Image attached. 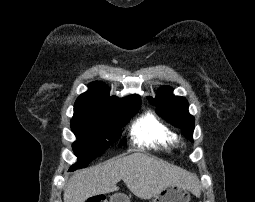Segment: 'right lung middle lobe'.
Wrapping results in <instances>:
<instances>
[{
	"mask_svg": "<svg viewBox=\"0 0 255 202\" xmlns=\"http://www.w3.org/2000/svg\"><path fill=\"white\" fill-rule=\"evenodd\" d=\"M140 104L124 110L101 117H73L71 130L76 135L77 141L73 143V150L78 158L70 171L86 167L89 162L116 142L121 134V129L136 113Z\"/></svg>",
	"mask_w": 255,
	"mask_h": 202,
	"instance_id": "obj_1",
	"label": "right lung middle lobe"
}]
</instances>
